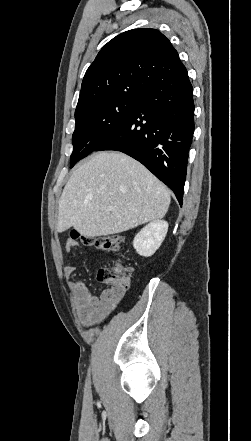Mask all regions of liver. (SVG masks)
<instances>
[{
	"label": "liver",
	"instance_id": "obj_1",
	"mask_svg": "<svg viewBox=\"0 0 251 441\" xmlns=\"http://www.w3.org/2000/svg\"><path fill=\"white\" fill-rule=\"evenodd\" d=\"M167 188L141 163L120 152H99L73 172L59 200L57 231L86 237L121 233L163 218Z\"/></svg>",
	"mask_w": 251,
	"mask_h": 441
}]
</instances>
